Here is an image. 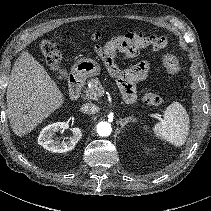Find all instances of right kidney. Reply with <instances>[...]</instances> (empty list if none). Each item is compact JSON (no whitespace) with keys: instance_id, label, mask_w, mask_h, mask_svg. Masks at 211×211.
<instances>
[{"instance_id":"right-kidney-1","label":"right kidney","mask_w":211,"mask_h":211,"mask_svg":"<svg viewBox=\"0 0 211 211\" xmlns=\"http://www.w3.org/2000/svg\"><path fill=\"white\" fill-rule=\"evenodd\" d=\"M69 125L66 122H57L44 127L38 137V144L43 148L57 153H63L74 149L76 143L81 139L82 132L79 128H72L73 135L67 141L55 140V134L60 129L68 128Z\"/></svg>"}]
</instances>
